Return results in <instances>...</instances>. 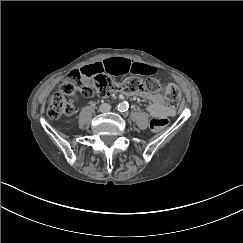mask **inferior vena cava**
I'll list each match as a JSON object with an SVG mask.
<instances>
[{"label":"inferior vena cava","mask_w":243,"mask_h":243,"mask_svg":"<svg viewBox=\"0 0 243 243\" xmlns=\"http://www.w3.org/2000/svg\"><path fill=\"white\" fill-rule=\"evenodd\" d=\"M98 109L101 113H104V112L107 113L111 110V107L109 104H101Z\"/></svg>","instance_id":"1"}]
</instances>
